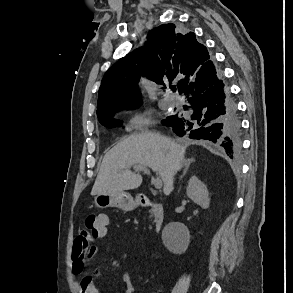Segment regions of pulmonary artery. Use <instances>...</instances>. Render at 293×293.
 I'll list each match as a JSON object with an SVG mask.
<instances>
[{"mask_svg": "<svg viewBox=\"0 0 293 293\" xmlns=\"http://www.w3.org/2000/svg\"><path fill=\"white\" fill-rule=\"evenodd\" d=\"M169 101H170L171 104H178L179 103L178 97L173 96V95L169 96Z\"/></svg>", "mask_w": 293, "mask_h": 293, "instance_id": "1", "label": "pulmonary artery"}]
</instances>
